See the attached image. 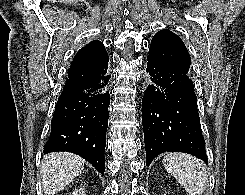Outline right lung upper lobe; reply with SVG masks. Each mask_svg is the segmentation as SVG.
<instances>
[{
    "label": "right lung upper lobe",
    "instance_id": "right-lung-upper-lobe-1",
    "mask_svg": "<svg viewBox=\"0 0 245 195\" xmlns=\"http://www.w3.org/2000/svg\"><path fill=\"white\" fill-rule=\"evenodd\" d=\"M108 58L103 44L98 40L92 41L77 52L71 63L68 77L90 75L98 69L106 68Z\"/></svg>",
    "mask_w": 245,
    "mask_h": 195
}]
</instances>
